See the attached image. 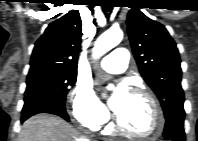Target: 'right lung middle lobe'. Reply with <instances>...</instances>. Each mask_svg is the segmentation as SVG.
Returning a JSON list of instances; mask_svg holds the SVG:
<instances>
[{"mask_svg":"<svg viewBox=\"0 0 198 141\" xmlns=\"http://www.w3.org/2000/svg\"><path fill=\"white\" fill-rule=\"evenodd\" d=\"M77 73L67 71L29 72L24 102H48L65 108L69 87L76 82Z\"/></svg>","mask_w":198,"mask_h":141,"instance_id":"1","label":"right lung middle lobe"}]
</instances>
